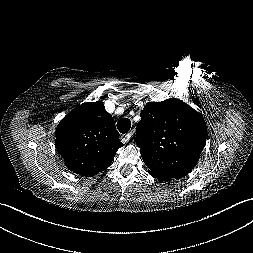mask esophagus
<instances>
[{
  "instance_id": "obj_1",
  "label": "esophagus",
  "mask_w": 253,
  "mask_h": 253,
  "mask_svg": "<svg viewBox=\"0 0 253 253\" xmlns=\"http://www.w3.org/2000/svg\"><path fill=\"white\" fill-rule=\"evenodd\" d=\"M131 136H132V132H129V133H127V134H124V135L122 136V142H123V143L128 142V141L130 140Z\"/></svg>"
}]
</instances>
